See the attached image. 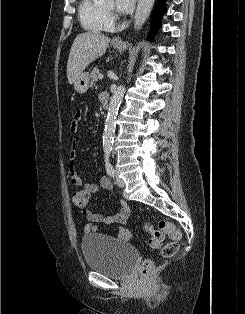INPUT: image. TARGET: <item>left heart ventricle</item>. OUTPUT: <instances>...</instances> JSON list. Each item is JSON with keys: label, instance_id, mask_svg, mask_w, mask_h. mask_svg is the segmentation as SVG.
<instances>
[{"label": "left heart ventricle", "instance_id": "obj_1", "mask_svg": "<svg viewBox=\"0 0 245 314\" xmlns=\"http://www.w3.org/2000/svg\"><path fill=\"white\" fill-rule=\"evenodd\" d=\"M104 7L108 8V9H113L114 7V1L111 0V1H108L104 4Z\"/></svg>", "mask_w": 245, "mask_h": 314}]
</instances>
